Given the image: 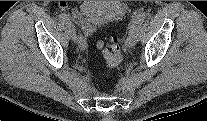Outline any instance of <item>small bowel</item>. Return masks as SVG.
I'll return each instance as SVG.
<instances>
[{"instance_id":"c3829d8e","label":"small bowel","mask_w":207,"mask_h":121,"mask_svg":"<svg viewBox=\"0 0 207 121\" xmlns=\"http://www.w3.org/2000/svg\"><path fill=\"white\" fill-rule=\"evenodd\" d=\"M60 7L61 8H67V4L65 2H60Z\"/></svg>"}]
</instances>
